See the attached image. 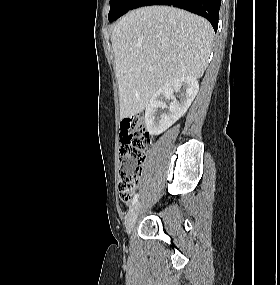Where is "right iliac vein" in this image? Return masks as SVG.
<instances>
[{
	"label": "right iliac vein",
	"instance_id": "1",
	"mask_svg": "<svg viewBox=\"0 0 280 285\" xmlns=\"http://www.w3.org/2000/svg\"><path fill=\"white\" fill-rule=\"evenodd\" d=\"M138 210H139V204H136V205L132 206V208L129 210V212L126 216L125 227H126V231L128 234H130L134 228L136 218L138 215Z\"/></svg>",
	"mask_w": 280,
	"mask_h": 285
}]
</instances>
